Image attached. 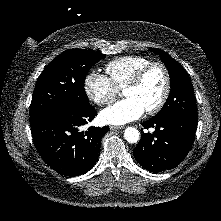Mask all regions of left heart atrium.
Wrapping results in <instances>:
<instances>
[{
    "mask_svg": "<svg viewBox=\"0 0 221 221\" xmlns=\"http://www.w3.org/2000/svg\"><path fill=\"white\" fill-rule=\"evenodd\" d=\"M144 111L137 100L127 97L102 110L100 119L105 124L122 125L140 118Z\"/></svg>",
    "mask_w": 221,
    "mask_h": 221,
    "instance_id": "obj_1",
    "label": "left heart atrium"
}]
</instances>
